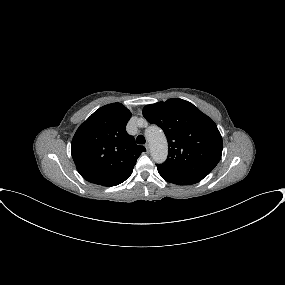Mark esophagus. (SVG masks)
I'll return each instance as SVG.
<instances>
[{
  "label": "esophagus",
  "mask_w": 285,
  "mask_h": 285,
  "mask_svg": "<svg viewBox=\"0 0 285 285\" xmlns=\"http://www.w3.org/2000/svg\"><path fill=\"white\" fill-rule=\"evenodd\" d=\"M145 148H146V151H147V153L150 151V147H149V145L148 144H146L145 145Z\"/></svg>",
  "instance_id": "obj_1"
}]
</instances>
